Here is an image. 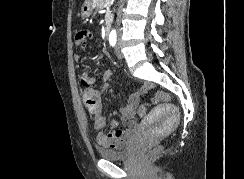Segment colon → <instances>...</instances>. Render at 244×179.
I'll return each instance as SVG.
<instances>
[{
    "label": "colon",
    "mask_w": 244,
    "mask_h": 179,
    "mask_svg": "<svg viewBox=\"0 0 244 179\" xmlns=\"http://www.w3.org/2000/svg\"><path fill=\"white\" fill-rule=\"evenodd\" d=\"M154 101H172V96H170L169 93H155L154 94ZM82 100L85 105V108L89 114H99L100 110V104H99V99H98V94L96 91L93 89L87 88L83 90L82 92ZM138 109H151V104H138L137 105ZM134 116H140L141 119H144L145 116L147 115L146 111H134ZM157 152L161 151L160 147L156 148ZM147 158L151 157L150 153L146 154Z\"/></svg>",
    "instance_id": "obj_1"
}]
</instances>
